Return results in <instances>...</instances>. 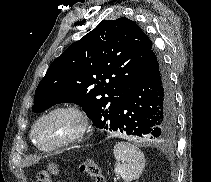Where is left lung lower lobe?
I'll list each match as a JSON object with an SVG mask.
<instances>
[{
	"label": "left lung lower lobe",
	"mask_w": 211,
	"mask_h": 182,
	"mask_svg": "<svg viewBox=\"0 0 211 182\" xmlns=\"http://www.w3.org/2000/svg\"><path fill=\"white\" fill-rule=\"evenodd\" d=\"M175 122L176 108L169 74L161 56L152 49L119 106L113 131L151 140L171 133Z\"/></svg>",
	"instance_id": "obj_1"
}]
</instances>
